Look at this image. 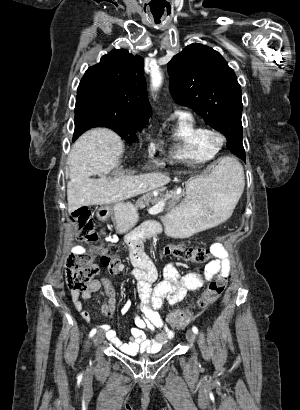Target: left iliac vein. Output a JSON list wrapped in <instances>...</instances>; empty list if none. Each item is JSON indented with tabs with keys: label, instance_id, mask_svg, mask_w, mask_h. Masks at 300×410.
I'll list each match as a JSON object with an SVG mask.
<instances>
[{
	"label": "left iliac vein",
	"instance_id": "1",
	"mask_svg": "<svg viewBox=\"0 0 300 410\" xmlns=\"http://www.w3.org/2000/svg\"><path fill=\"white\" fill-rule=\"evenodd\" d=\"M186 338L189 341V343L193 344L195 341V333L192 330H187Z\"/></svg>",
	"mask_w": 300,
	"mask_h": 410
}]
</instances>
